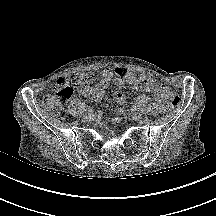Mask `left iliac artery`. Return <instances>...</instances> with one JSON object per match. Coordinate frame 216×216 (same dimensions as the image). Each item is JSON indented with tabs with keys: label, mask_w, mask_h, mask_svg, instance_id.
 <instances>
[{
	"label": "left iliac artery",
	"mask_w": 216,
	"mask_h": 216,
	"mask_svg": "<svg viewBox=\"0 0 216 216\" xmlns=\"http://www.w3.org/2000/svg\"><path fill=\"white\" fill-rule=\"evenodd\" d=\"M131 110H132V112H133V111H136V110H137V107H136V106H133V107L131 108Z\"/></svg>",
	"instance_id": "obj_1"
}]
</instances>
